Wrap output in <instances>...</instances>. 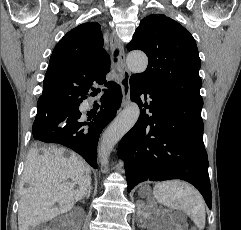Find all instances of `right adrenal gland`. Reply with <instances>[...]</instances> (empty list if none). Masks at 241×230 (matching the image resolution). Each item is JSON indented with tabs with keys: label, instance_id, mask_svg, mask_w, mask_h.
Returning <instances> with one entry per match:
<instances>
[{
	"label": "right adrenal gland",
	"instance_id": "obj_1",
	"mask_svg": "<svg viewBox=\"0 0 241 230\" xmlns=\"http://www.w3.org/2000/svg\"><path fill=\"white\" fill-rule=\"evenodd\" d=\"M91 190H92V185H90L87 193L81 198V200H84L85 197L88 199L90 197Z\"/></svg>",
	"mask_w": 241,
	"mask_h": 230
}]
</instances>
